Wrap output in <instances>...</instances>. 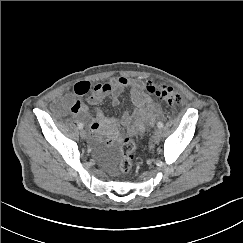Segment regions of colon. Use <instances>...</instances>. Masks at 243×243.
Returning a JSON list of instances; mask_svg holds the SVG:
<instances>
[{
	"label": "colon",
	"instance_id": "obj_1",
	"mask_svg": "<svg viewBox=\"0 0 243 243\" xmlns=\"http://www.w3.org/2000/svg\"><path fill=\"white\" fill-rule=\"evenodd\" d=\"M146 91L161 99L170 106H178L182 103L181 95L170 85L165 83L148 82ZM136 145L130 138H124L121 142V160L119 169L121 173L128 174L132 169L133 152Z\"/></svg>",
	"mask_w": 243,
	"mask_h": 243
}]
</instances>
